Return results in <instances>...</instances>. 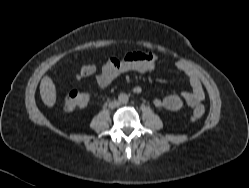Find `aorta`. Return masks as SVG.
<instances>
[{
  "instance_id": "aorta-1",
  "label": "aorta",
  "mask_w": 249,
  "mask_h": 188,
  "mask_svg": "<svg viewBox=\"0 0 249 188\" xmlns=\"http://www.w3.org/2000/svg\"><path fill=\"white\" fill-rule=\"evenodd\" d=\"M129 100V96L126 93H120L118 96V101L122 104H126Z\"/></svg>"
}]
</instances>
